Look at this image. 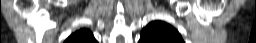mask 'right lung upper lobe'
Here are the masks:
<instances>
[{
  "instance_id": "1",
  "label": "right lung upper lobe",
  "mask_w": 256,
  "mask_h": 43,
  "mask_svg": "<svg viewBox=\"0 0 256 43\" xmlns=\"http://www.w3.org/2000/svg\"><path fill=\"white\" fill-rule=\"evenodd\" d=\"M64 43H97L91 31L81 29L70 35Z\"/></svg>"
}]
</instances>
